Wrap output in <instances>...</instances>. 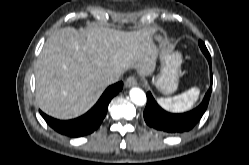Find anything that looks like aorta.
Segmentation results:
<instances>
[{"instance_id": "aorta-1", "label": "aorta", "mask_w": 249, "mask_h": 165, "mask_svg": "<svg viewBox=\"0 0 249 165\" xmlns=\"http://www.w3.org/2000/svg\"><path fill=\"white\" fill-rule=\"evenodd\" d=\"M129 95L131 101L138 106H143L146 103V94L140 88H132Z\"/></svg>"}]
</instances>
